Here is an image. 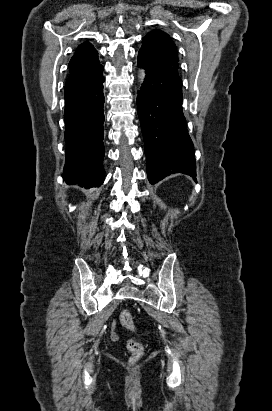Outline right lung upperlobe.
Here are the masks:
<instances>
[{
    "instance_id": "cb5924a9",
    "label": "right lung upper lobe",
    "mask_w": 272,
    "mask_h": 411,
    "mask_svg": "<svg viewBox=\"0 0 272 411\" xmlns=\"http://www.w3.org/2000/svg\"><path fill=\"white\" fill-rule=\"evenodd\" d=\"M70 75L66 81L65 95L92 86L101 76L103 67L99 63L96 49L89 43L80 44L69 62Z\"/></svg>"
}]
</instances>
